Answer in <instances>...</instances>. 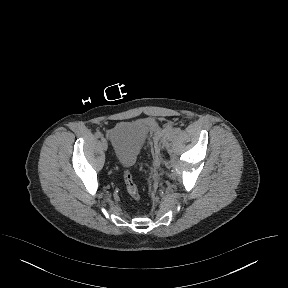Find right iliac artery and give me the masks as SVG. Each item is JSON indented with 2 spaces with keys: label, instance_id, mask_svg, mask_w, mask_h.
Wrapping results in <instances>:
<instances>
[{
  "label": "right iliac artery",
  "instance_id": "1",
  "mask_svg": "<svg viewBox=\"0 0 288 288\" xmlns=\"http://www.w3.org/2000/svg\"><path fill=\"white\" fill-rule=\"evenodd\" d=\"M95 136H96V138H101V137H102V134H101V132L97 131V132L95 133Z\"/></svg>",
  "mask_w": 288,
  "mask_h": 288
}]
</instances>
